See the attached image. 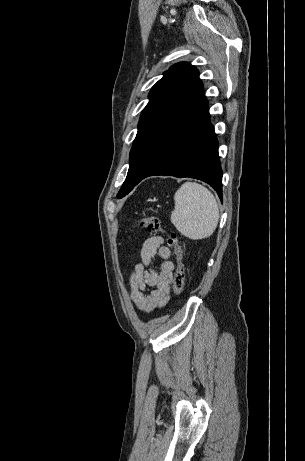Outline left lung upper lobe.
Returning <instances> with one entry per match:
<instances>
[{"mask_svg":"<svg viewBox=\"0 0 305 461\" xmlns=\"http://www.w3.org/2000/svg\"><path fill=\"white\" fill-rule=\"evenodd\" d=\"M199 84L197 69L181 62L164 72V76L152 87L150 100L140 117L138 132L130 151L128 174L117 194L118 198L127 195L138 179L147 172L155 134Z\"/></svg>","mask_w":305,"mask_h":461,"instance_id":"1","label":"left lung upper lobe"}]
</instances>
